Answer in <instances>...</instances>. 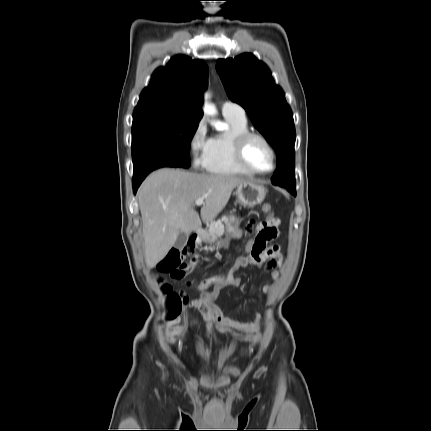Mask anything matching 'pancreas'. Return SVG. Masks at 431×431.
Masks as SVG:
<instances>
[{"label":"pancreas","instance_id":"pancreas-1","mask_svg":"<svg viewBox=\"0 0 431 431\" xmlns=\"http://www.w3.org/2000/svg\"><path fill=\"white\" fill-rule=\"evenodd\" d=\"M229 220L228 217L222 216L221 219L214 221L211 223L209 232L213 234L214 236L221 237L224 233V223H226ZM208 250V248H206Z\"/></svg>","mask_w":431,"mask_h":431}]
</instances>
